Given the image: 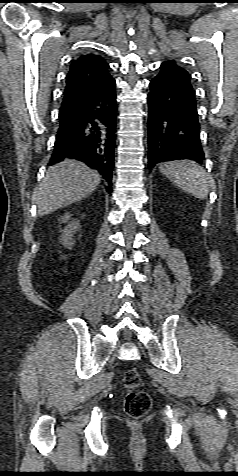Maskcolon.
<instances>
[{
  "label": "colon",
  "mask_w": 238,
  "mask_h": 476,
  "mask_svg": "<svg viewBox=\"0 0 238 476\" xmlns=\"http://www.w3.org/2000/svg\"><path fill=\"white\" fill-rule=\"evenodd\" d=\"M122 382L127 389L124 399V410L132 418H141L151 407V399L145 391L137 390L141 377L136 369H127L123 373Z\"/></svg>",
  "instance_id": "colon-1"
}]
</instances>
